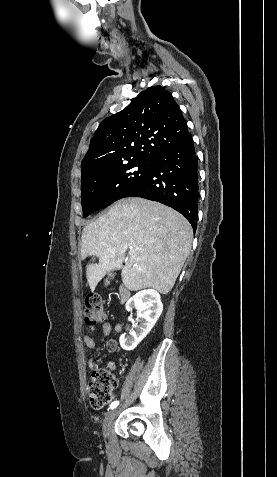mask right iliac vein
Instances as JSON below:
<instances>
[{"mask_svg": "<svg viewBox=\"0 0 277 477\" xmlns=\"http://www.w3.org/2000/svg\"><path fill=\"white\" fill-rule=\"evenodd\" d=\"M117 414V411L116 410H112L110 412H108V414L106 415L105 419H104V422H103V434L105 437H107L109 435V431H110V428H111V425H112V422L115 418Z\"/></svg>", "mask_w": 277, "mask_h": 477, "instance_id": "1", "label": "right iliac vein"}]
</instances>
